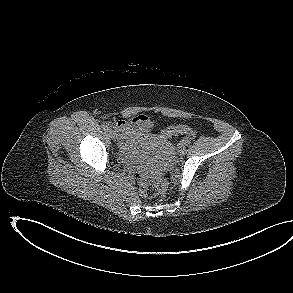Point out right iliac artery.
<instances>
[{
	"label": "right iliac artery",
	"instance_id": "1",
	"mask_svg": "<svg viewBox=\"0 0 293 293\" xmlns=\"http://www.w3.org/2000/svg\"><path fill=\"white\" fill-rule=\"evenodd\" d=\"M102 128H103L104 130H109V124H107V123H103V124H102Z\"/></svg>",
	"mask_w": 293,
	"mask_h": 293
}]
</instances>
